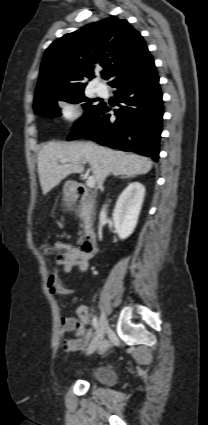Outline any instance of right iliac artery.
<instances>
[{"label":"right iliac artery","mask_w":208,"mask_h":425,"mask_svg":"<svg viewBox=\"0 0 208 425\" xmlns=\"http://www.w3.org/2000/svg\"><path fill=\"white\" fill-rule=\"evenodd\" d=\"M92 325H93V328H94V329H97V327H98V319H97V316H93V319H92Z\"/></svg>","instance_id":"1"}]
</instances>
